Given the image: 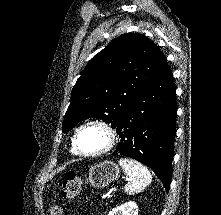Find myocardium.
Masks as SVG:
<instances>
[{
  "label": "myocardium",
  "instance_id": "1",
  "mask_svg": "<svg viewBox=\"0 0 221 215\" xmlns=\"http://www.w3.org/2000/svg\"><path fill=\"white\" fill-rule=\"evenodd\" d=\"M90 126H96L101 128L105 134H106V144L105 146L96 151V152H84L82 150L79 149L78 147V136L80 134V132ZM117 141V132L115 130V128L107 121L102 120V119H93V120H89L83 124H81L75 131L73 138H72V147L75 151L76 154L84 156V157H97V156H101L107 152H109L116 144Z\"/></svg>",
  "mask_w": 221,
  "mask_h": 215
}]
</instances>
